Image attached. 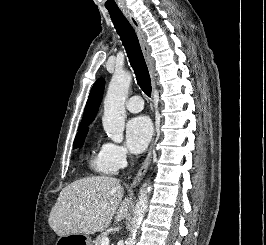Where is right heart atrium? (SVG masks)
Wrapping results in <instances>:
<instances>
[{"label":"right heart atrium","mask_w":266,"mask_h":245,"mask_svg":"<svg viewBox=\"0 0 266 245\" xmlns=\"http://www.w3.org/2000/svg\"><path fill=\"white\" fill-rule=\"evenodd\" d=\"M101 149L109 165L114 170H119L126 166L129 160L127 149L114 141H105L101 145Z\"/></svg>","instance_id":"1"}]
</instances>
